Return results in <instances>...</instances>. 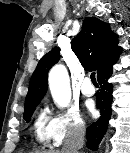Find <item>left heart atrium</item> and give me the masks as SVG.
I'll list each match as a JSON object with an SVG mask.
<instances>
[{"instance_id":"1","label":"left heart atrium","mask_w":130,"mask_h":153,"mask_svg":"<svg viewBox=\"0 0 130 153\" xmlns=\"http://www.w3.org/2000/svg\"><path fill=\"white\" fill-rule=\"evenodd\" d=\"M88 109H89V111H91V112H93V111H94V108H93V106H92V105H88Z\"/></svg>"}]
</instances>
